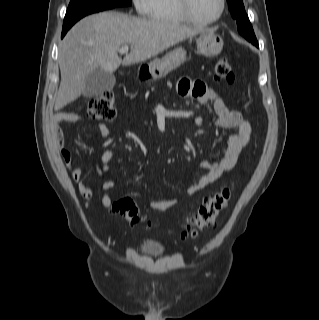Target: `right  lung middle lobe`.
I'll return each mask as SVG.
<instances>
[{"label": "right lung middle lobe", "mask_w": 319, "mask_h": 320, "mask_svg": "<svg viewBox=\"0 0 319 320\" xmlns=\"http://www.w3.org/2000/svg\"><path fill=\"white\" fill-rule=\"evenodd\" d=\"M131 0H71L66 12L63 29L71 28L79 19L99 11L129 6Z\"/></svg>", "instance_id": "dd1d6c3e"}]
</instances>
